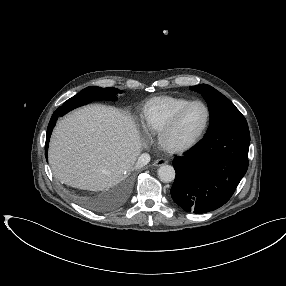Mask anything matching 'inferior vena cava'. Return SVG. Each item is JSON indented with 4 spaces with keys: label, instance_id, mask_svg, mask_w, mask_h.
Wrapping results in <instances>:
<instances>
[{
    "label": "inferior vena cava",
    "instance_id": "602c4592",
    "mask_svg": "<svg viewBox=\"0 0 286 286\" xmlns=\"http://www.w3.org/2000/svg\"><path fill=\"white\" fill-rule=\"evenodd\" d=\"M150 161V155L148 153H143L138 157V160L136 161L135 165L137 167L145 166Z\"/></svg>",
    "mask_w": 286,
    "mask_h": 286
}]
</instances>
